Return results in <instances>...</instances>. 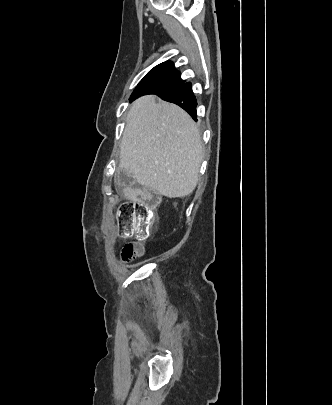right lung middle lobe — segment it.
I'll list each match as a JSON object with an SVG mask.
<instances>
[{"instance_id":"right-lung-middle-lobe-1","label":"right lung middle lobe","mask_w":332,"mask_h":405,"mask_svg":"<svg viewBox=\"0 0 332 405\" xmlns=\"http://www.w3.org/2000/svg\"><path fill=\"white\" fill-rule=\"evenodd\" d=\"M184 83L178 76L149 72L134 91L139 93L161 92Z\"/></svg>"}]
</instances>
